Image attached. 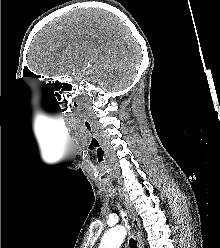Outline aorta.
Listing matches in <instances>:
<instances>
[{
	"label": "aorta",
	"instance_id": "aorta-1",
	"mask_svg": "<svg viewBox=\"0 0 220 248\" xmlns=\"http://www.w3.org/2000/svg\"><path fill=\"white\" fill-rule=\"evenodd\" d=\"M126 233V228L122 225L110 229L103 236L99 248H120Z\"/></svg>",
	"mask_w": 220,
	"mask_h": 248
}]
</instances>
